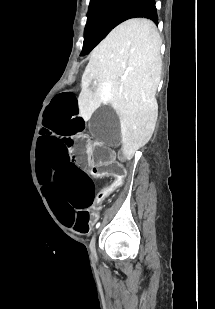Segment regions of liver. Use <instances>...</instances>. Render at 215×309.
<instances>
[{
	"label": "liver",
	"instance_id": "6515ba94",
	"mask_svg": "<svg viewBox=\"0 0 215 309\" xmlns=\"http://www.w3.org/2000/svg\"><path fill=\"white\" fill-rule=\"evenodd\" d=\"M160 46V34L152 20L129 18L93 48L82 74L81 116L89 120L100 104H111L120 118L127 161L148 142L155 128ZM91 80L98 82L95 92L90 88Z\"/></svg>",
	"mask_w": 215,
	"mask_h": 309
}]
</instances>
